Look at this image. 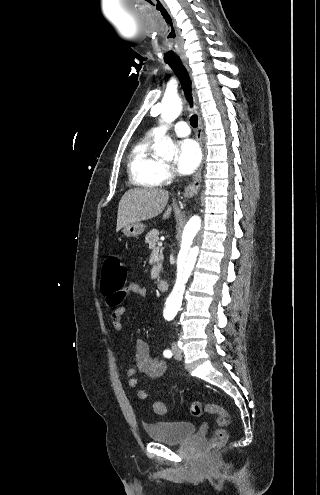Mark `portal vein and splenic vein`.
<instances>
[{
	"label": "portal vein and splenic vein",
	"instance_id": "obj_1",
	"mask_svg": "<svg viewBox=\"0 0 320 495\" xmlns=\"http://www.w3.org/2000/svg\"><path fill=\"white\" fill-rule=\"evenodd\" d=\"M158 246H162V243H161V242H159V243H158ZM154 251H159V249H154Z\"/></svg>",
	"mask_w": 320,
	"mask_h": 495
}]
</instances>
